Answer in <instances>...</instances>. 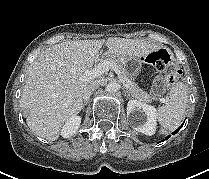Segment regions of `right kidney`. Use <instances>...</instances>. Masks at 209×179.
Here are the masks:
<instances>
[{"label":"right kidney","mask_w":209,"mask_h":179,"mask_svg":"<svg viewBox=\"0 0 209 179\" xmlns=\"http://www.w3.org/2000/svg\"><path fill=\"white\" fill-rule=\"evenodd\" d=\"M81 124V117L78 115H74L70 117L61 129V136L63 138H68L76 133L79 126Z\"/></svg>","instance_id":"right-kidney-1"}]
</instances>
